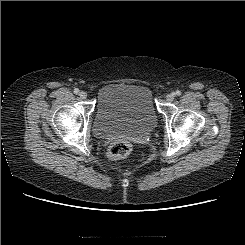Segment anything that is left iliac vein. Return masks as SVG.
<instances>
[{
  "label": "left iliac vein",
  "instance_id": "4c4485c4",
  "mask_svg": "<svg viewBox=\"0 0 245 245\" xmlns=\"http://www.w3.org/2000/svg\"><path fill=\"white\" fill-rule=\"evenodd\" d=\"M174 94L173 93H170V94H168L167 96H166V99H167V101H169V102H171V101H173L174 100Z\"/></svg>",
  "mask_w": 245,
  "mask_h": 245
}]
</instances>
